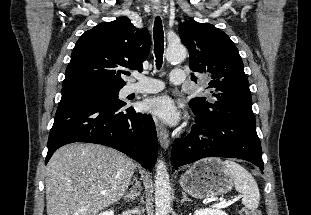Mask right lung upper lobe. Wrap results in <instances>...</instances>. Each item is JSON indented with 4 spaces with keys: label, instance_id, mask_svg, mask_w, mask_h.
<instances>
[{
    "label": "right lung upper lobe",
    "instance_id": "1",
    "mask_svg": "<svg viewBox=\"0 0 311 215\" xmlns=\"http://www.w3.org/2000/svg\"><path fill=\"white\" fill-rule=\"evenodd\" d=\"M151 45L147 29H137L127 17L103 22L76 42L62 86L93 83L122 88L125 68L143 70Z\"/></svg>",
    "mask_w": 311,
    "mask_h": 215
}]
</instances>
